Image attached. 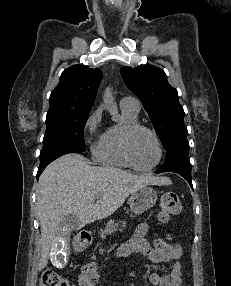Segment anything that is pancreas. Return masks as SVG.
Segmentation results:
<instances>
[{
  "mask_svg": "<svg viewBox=\"0 0 231 286\" xmlns=\"http://www.w3.org/2000/svg\"><path fill=\"white\" fill-rule=\"evenodd\" d=\"M125 227H126V222L124 221L115 222L114 220H110L106 223L105 228L100 230L99 234L102 239H105L106 235L116 232L118 228L119 231H122Z\"/></svg>",
  "mask_w": 231,
  "mask_h": 286,
  "instance_id": "obj_1",
  "label": "pancreas"
}]
</instances>
